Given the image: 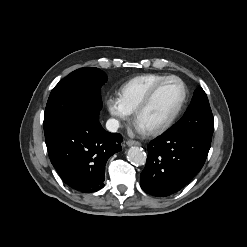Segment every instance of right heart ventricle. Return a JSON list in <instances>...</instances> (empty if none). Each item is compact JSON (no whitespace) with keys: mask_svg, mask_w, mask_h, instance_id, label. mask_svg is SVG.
Returning <instances> with one entry per match:
<instances>
[{"mask_svg":"<svg viewBox=\"0 0 247 247\" xmlns=\"http://www.w3.org/2000/svg\"><path fill=\"white\" fill-rule=\"evenodd\" d=\"M167 77L162 74H144L125 82L119 89V99L129 113H134L137 106L160 80Z\"/></svg>","mask_w":247,"mask_h":247,"instance_id":"1","label":"right heart ventricle"}]
</instances>
